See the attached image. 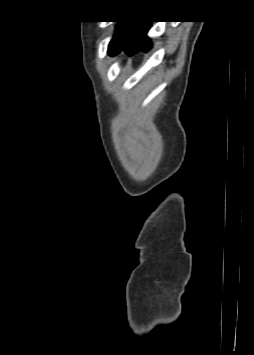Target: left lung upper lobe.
Here are the masks:
<instances>
[{
  "mask_svg": "<svg viewBox=\"0 0 254 355\" xmlns=\"http://www.w3.org/2000/svg\"><path fill=\"white\" fill-rule=\"evenodd\" d=\"M119 23L120 24L116 26L117 32H116V34L114 35V38L111 40V42L109 44L108 53L110 55H111V52H112L114 46L116 45V43L118 42V40L122 36L123 31H124L125 27L128 25L129 21H121Z\"/></svg>",
  "mask_w": 254,
  "mask_h": 355,
  "instance_id": "left-lung-upper-lobe-1",
  "label": "left lung upper lobe"
}]
</instances>
